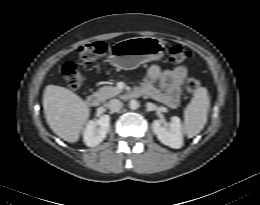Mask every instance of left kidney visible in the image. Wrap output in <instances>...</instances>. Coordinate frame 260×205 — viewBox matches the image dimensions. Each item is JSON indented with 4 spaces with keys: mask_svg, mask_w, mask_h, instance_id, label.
<instances>
[{
    "mask_svg": "<svg viewBox=\"0 0 260 205\" xmlns=\"http://www.w3.org/2000/svg\"><path fill=\"white\" fill-rule=\"evenodd\" d=\"M152 128L158 140L164 145L175 149L183 146V128L177 116H173L168 125H164L161 120H154Z\"/></svg>",
    "mask_w": 260,
    "mask_h": 205,
    "instance_id": "obj_1",
    "label": "left kidney"
}]
</instances>
